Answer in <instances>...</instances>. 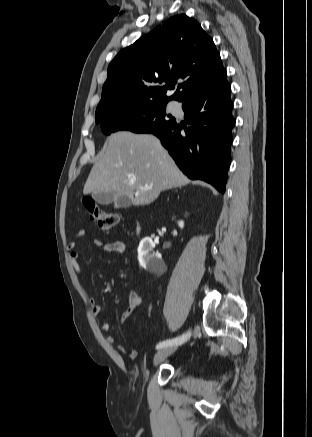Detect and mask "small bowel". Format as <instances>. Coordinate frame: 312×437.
Returning a JSON list of instances; mask_svg holds the SVG:
<instances>
[{
    "instance_id": "small-bowel-1",
    "label": "small bowel",
    "mask_w": 312,
    "mask_h": 437,
    "mask_svg": "<svg viewBox=\"0 0 312 437\" xmlns=\"http://www.w3.org/2000/svg\"><path fill=\"white\" fill-rule=\"evenodd\" d=\"M85 236L84 230H78L75 233V238H82ZM94 244L96 246L102 247L103 251L106 253H123L125 251V243L123 241H110V242H102L99 239H96L94 241ZM68 248V255L69 259L74 267V269L80 273V268L78 265V252L76 250V243L75 242H69L67 245ZM142 296L137 293L136 291H131L129 294V301L126 309L123 311L121 316L118 319L119 323H122L126 321L132 312L142 303ZM90 303L92 306V312L95 316H98L102 311V306L99 304L94 297L90 298ZM113 321L110 320H104L100 324V329L102 332H108L112 326ZM106 341L110 345H114L116 343L115 337L112 335H108L106 337ZM117 349L126 354L130 358H134L136 356V351L132 348H126L123 345H117Z\"/></svg>"
}]
</instances>
